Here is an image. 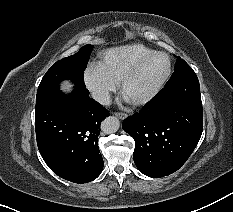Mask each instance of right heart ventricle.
I'll return each mask as SVG.
<instances>
[{
    "instance_id": "right-heart-ventricle-1",
    "label": "right heart ventricle",
    "mask_w": 233,
    "mask_h": 212,
    "mask_svg": "<svg viewBox=\"0 0 233 212\" xmlns=\"http://www.w3.org/2000/svg\"><path fill=\"white\" fill-rule=\"evenodd\" d=\"M154 52L142 44H129L106 50L100 54L99 64L117 82L141 58Z\"/></svg>"
}]
</instances>
